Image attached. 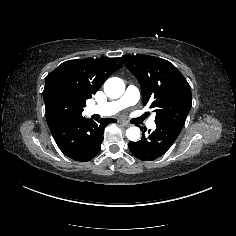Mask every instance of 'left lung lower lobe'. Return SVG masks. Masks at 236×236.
Here are the masks:
<instances>
[{"mask_svg": "<svg viewBox=\"0 0 236 236\" xmlns=\"http://www.w3.org/2000/svg\"><path fill=\"white\" fill-rule=\"evenodd\" d=\"M157 128L146 136L143 130L141 140L129 142L131 153L138 159L153 161L165 154L177 139L183 126L176 123H156Z\"/></svg>", "mask_w": 236, "mask_h": 236, "instance_id": "0a47b994", "label": "left lung lower lobe"}]
</instances>
